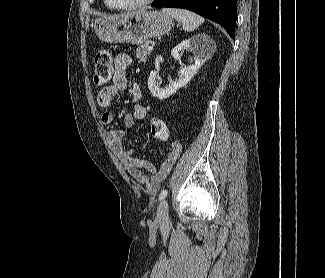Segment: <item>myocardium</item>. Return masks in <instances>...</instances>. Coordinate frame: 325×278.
Returning <instances> with one entry per match:
<instances>
[{
    "instance_id": "obj_1",
    "label": "myocardium",
    "mask_w": 325,
    "mask_h": 278,
    "mask_svg": "<svg viewBox=\"0 0 325 278\" xmlns=\"http://www.w3.org/2000/svg\"><path fill=\"white\" fill-rule=\"evenodd\" d=\"M105 2L107 6L111 9L120 10V11H129V10H136V9L146 7L149 4L153 3L154 0H142L135 4L123 5V6L114 5L113 3H111L110 0H105Z\"/></svg>"
}]
</instances>
